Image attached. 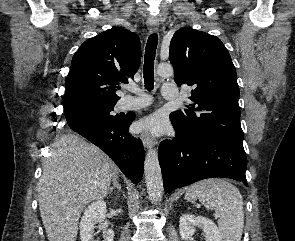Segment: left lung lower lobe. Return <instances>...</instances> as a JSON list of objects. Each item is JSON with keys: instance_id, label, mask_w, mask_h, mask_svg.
Returning a JSON list of instances; mask_svg holds the SVG:
<instances>
[{"instance_id": "left-lung-lower-lobe-1", "label": "left lung lower lobe", "mask_w": 295, "mask_h": 241, "mask_svg": "<svg viewBox=\"0 0 295 241\" xmlns=\"http://www.w3.org/2000/svg\"><path fill=\"white\" fill-rule=\"evenodd\" d=\"M172 124L177 135L162 141L158 153L165 192L213 177L235 179L247 186L242 143L211 135L188 138Z\"/></svg>"}]
</instances>
